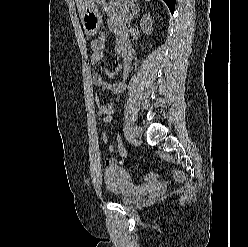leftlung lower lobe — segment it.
<instances>
[{"label": "left lung lower lobe", "instance_id": "0a47b994", "mask_svg": "<svg viewBox=\"0 0 248 247\" xmlns=\"http://www.w3.org/2000/svg\"><path fill=\"white\" fill-rule=\"evenodd\" d=\"M169 7L171 13H174L176 0H163Z\"/></svg>", "mask_w": 248, "mask_h": 247}]
</instances>
